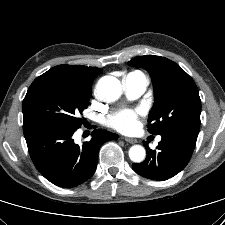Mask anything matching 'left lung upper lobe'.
<instances>
[{
  "label": "left lung upper lobe",
  "mask_w": 225,
  "mask_h": 225,
  "mask_svg": "<svg viewBox=\"0 0 225 225\" xmlns=\"http://www.w3.org/2000/svg\"><path fill=\"white\" fill-rule=\"evenodd\" d=\"M145 68L154 84L155 103L148 118L153 134L172 132L197 139L201 100L193 79L175 62L160 56L145 55L128 62Z\"/></svg>",
  "instance_id": "5c2ea615"
}]
</instances>
